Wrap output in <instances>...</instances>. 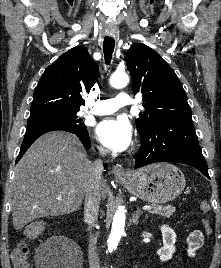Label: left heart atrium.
<instances>
[{
	"mask_svg": "<svg viewBox=\"0 0 221 268\" xmlns=\"http://www.w3.org/2000/svg\"><path fill=\"white\" fill-rule=\"evenodd\" d=\"M96 133L100 142L115 152L128 149L133 139L132 127L124 118H108L101 121Z\"/></svg>",
	"mask_w": 221,
	"mask_h": 268,
	"instance_id": "1",
	"label": "left heart atrium"
}]
</instances>
